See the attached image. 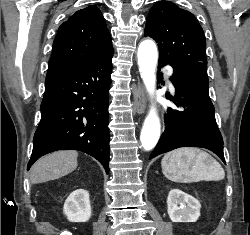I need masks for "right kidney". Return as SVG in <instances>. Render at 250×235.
<instances>
[{"instance_id":"obj_1","label":"right kidney","mask_w":250,"mask_h":235,"mask_svg":"<svg viewBox=\"0 0 250 235\" xmlns=\"http://www.w3.org/2000/svg\"><path fill=\"white\" fill-rule=\"evenodd\" d=\"M63 212L70 222H87L91 217L89 192L85 189L73 191L64 203Z\"/></svg>"}]
</instances>
